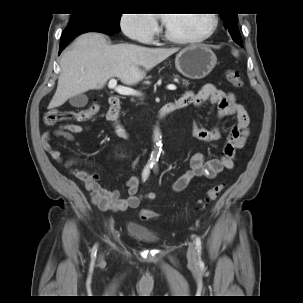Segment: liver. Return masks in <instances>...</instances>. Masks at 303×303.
<instances>
[{
	"mask_svg": "<svg viewBox=\"0 0 303 303\" xmlns=\"http://www.w3.org/2000/svg\"><path fill=\"white\" fill-rule=\"evenodd\" d=\"M177 51L134 44L110 45L101 33H85L62 55L57 89L48 108L59 107L88 90L102 89L113 77L126 85L136 84L144 79L146 71Z\"/></svg>",
	"mask_w": 303,
	"mask_h": 303,
	"instance_id": "obj_1",
	"label": "liver"
}]
</instances>
